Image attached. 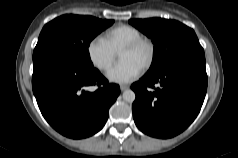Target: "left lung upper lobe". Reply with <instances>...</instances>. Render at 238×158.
<instances>
[{
	"label": "left lung upper lobe",
	"instance_id": "obj_1",
	"mask_svg": "<svg viewBox=\"0 0 238 158\" xmlns=\"http://www.w3.org/2000/svg\"><path fill=\"white\" fill-rule=\"evenodd\" d=\"M129 23L152 39L153 60L147 75L155 74L177 59L204 53L193 29L161 18L131 19Z\"/></svg>",
	"mask_w": 238,
	"mask_h": 158
}]
</instances>
